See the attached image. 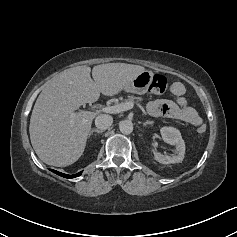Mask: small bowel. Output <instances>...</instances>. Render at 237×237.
Masks as SVG:
<instances>
[{"label":"small bowel","instance_id":"1","mask_svg":"<svg viewBox=\"0 0 237 237\" xmlns=\"http://www.w3.org/2000/svg\"><path fill=\"white\" fill-rule=\"evenodd\" d=\"M170 92L176 97L175 102L156 100L149 102L147 110L157 116H168L179 119L189 125L199 126L202 119L198 112L188 104L185 98V87L180 82H174L170 86Z\"/></svg>","mask_w":237,"mask_h":237}]
</instances>
